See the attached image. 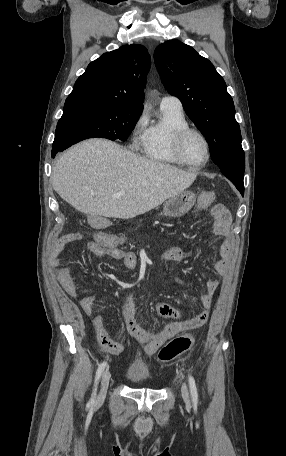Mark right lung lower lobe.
I'll return each instance as SVG.
<instances>
[{"label":"right lung lower lobe","instance_id":"right-lung-lower-lobe-1","mask_svg":"<svg viewBox=\"0 0 286 456\" xmlns=\"http://www.w3.org/2000/svg\"><path fill=\"white\" fill-rule=\"evenodd\" d=\"M58 151H61V150H60L59 148L53 146V149H52V157H55V155H56V153H57Z\"/></svg>","mask_w":286,"mask_h":456}]
</instances>
